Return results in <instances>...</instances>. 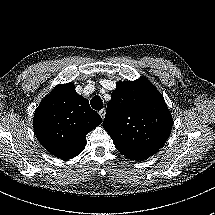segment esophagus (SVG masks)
Returning a JSON list of instances; mask_svg holds the SVG:
<instances>
[{
    "label": "esophagus",
    "instance_id": "34e87169",
    "mask_svg": "<svg viewBox=\"0 0 215 215\" xmlns=\"http://www.w3.org/2000/svg\"><path fill=\"white\" fill-rule=\"evenodd\" d=\"M98 113H99L100 117L102 118V120H104L105 114H106L105 108L101 109Z\"/></svg>",
    "mask_w": 215,
    "mask_h": 215
}]
</instances>
